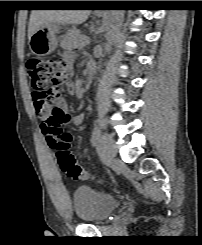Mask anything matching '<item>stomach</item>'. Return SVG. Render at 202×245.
Returning <instances> with one entry per match:
<instances>
[{
  "label": "stomach",
  "instance_id": "1",
  "mask_svg": "<svg viewBox=\"0 0 202 245\" xmlns=\"http://www.w3.org/2000/svg\"><path fill=\"white\" fill-rule=\"evenodd\" d=\"M60 25L48 23L35 31L29 38L30 51L37 56H47L51 54L58 45L57 35L60 32Z\"/></svg>",
  "mask_w": 202,
  "mask_h": 245
}]
</instances>
